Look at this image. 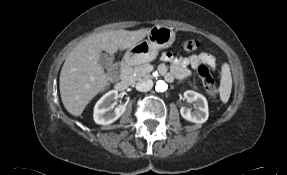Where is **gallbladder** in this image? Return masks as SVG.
Here are the masks:
<instances>
[{"label": "gallbladder", "mask_w": 287, "mask_h": 175, "mask_svg": "<svg viewBox=\"0 0 287 175\" xmlns=\"http://www.w3.org/2000/svg\"><path fill=\"white\" fill-rule=\"evenodd\" d=\"M98 63H99L103 68H108L109 65L111 64V59L108 57L107 54H105V53H100V57H99Z\"/></svg>", "instance_id": "gallbladder-1"}]
</instances>
